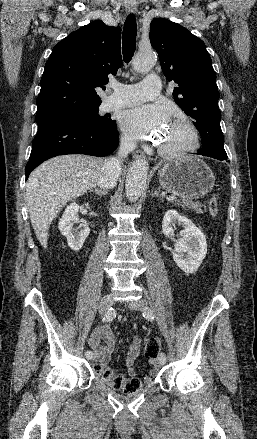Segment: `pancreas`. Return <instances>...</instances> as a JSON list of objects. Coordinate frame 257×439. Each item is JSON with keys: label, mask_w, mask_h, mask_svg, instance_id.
<instances>
[{"label": "pancreas", "mask_w": 257, "mask_h": 439, "mask_svg": "<svg viewBox=\"0 0 257 439\" xmlns=\"http://www.w3.org/2000/svg\"><path fill=\"white\" fill-rule=\"evenodd\" d=\"M175 204L178 205V206L181 205L183 208H188L190 210H193V211H195L198 214H203L204 213V210L201 209L202 205L200 203H198V202H192L191 200L185 199V200L179 201V202H177Z\"/></svg>", "instance_id": "cf45deb5"}]
</instances>
